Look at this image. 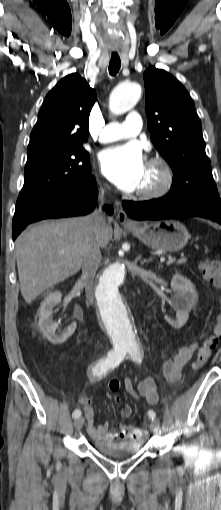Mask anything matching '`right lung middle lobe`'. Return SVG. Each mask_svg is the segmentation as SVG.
<instances>
[{"mask_svg": "<svg viewBox=\"0 0 221 510\" xmlns=\"http://www.w3.org/2000/svg\"><path fill=\"white\" fill-rule=\"evenodd\" d=\"M90 176L89 154L80 144L28 155L14 215L29 217L49 201L86 183Z\"/></svg>", "mask_w": 221, "mask_h": 510, "instance_id": "obj_1", "label": "right lung middle lobe"}]
</instances>
